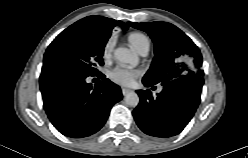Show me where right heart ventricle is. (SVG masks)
Instances as JSON below:
<instances>
[{
    "label": "right heart ventricle",
    "mask_w": 248,
    "mask_h": 158,
    "mask_svg": "<svg viewBox=\"0 0 248 158\" xmlns=\"http://www.w3.org/2000/svg\"><path fill=\"white\" fill-rule=\"evenodd\" d=\"M128 40L131 46L138 52L146 43L149 42V39L140 32L130 33L128 36Z\"/></svg>",
    "instance_id": "obj_1"
}]
</instances>
